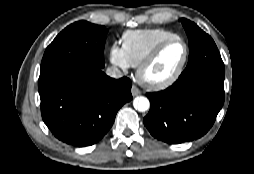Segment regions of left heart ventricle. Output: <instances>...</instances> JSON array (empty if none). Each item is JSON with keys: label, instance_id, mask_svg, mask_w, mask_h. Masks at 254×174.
<instances>
[{"label": "left heart ventricle", "instance_id": "1", "mask_svg": "<svg viewBox=\"0 0 254 174\" xmlns=\"http://www.w3.org/2000/svg\"><path fill=\"white\" fill-rule=\"evenodd\" d=\"M184 46L174 42L166 46L155 62L146 70L145 77L149 80H162L172 75L184 57Z\"/></svg>", "mask_w": 254, "mask_h": 174}]
</instances>
